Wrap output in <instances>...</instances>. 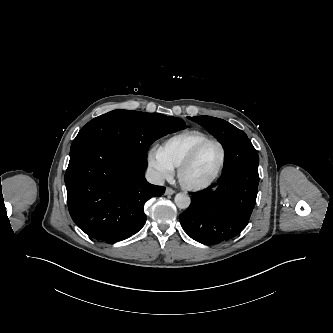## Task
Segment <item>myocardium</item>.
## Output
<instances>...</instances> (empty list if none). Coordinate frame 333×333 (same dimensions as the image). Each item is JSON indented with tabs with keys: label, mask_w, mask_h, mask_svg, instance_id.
<instances>
[{
	"label": "myocardium",
	"mask_w": 333,
	"mask_h": 333,
	"mask_svg": "<svg viewBox=\"0 0 333 333\" xmlns=\"http://www.w3.org/2000/svg\"><path fill=\"white\" fill-rule=\"evenodd\" d=\"M208 144H216L221 152V158H220V162L216 168V170L214 171V173L205 181L202 182H198V183H192L186 180L185 178V172L186 170L191 166V164L194 162V160L196 159L198 153L200 152V150L208 145ZM225 161H226V149L224 147V145L217 139H213V138H208L205 139L201 142H199L191 151L190 153L186 156V158L181 162V164L178 166V180L181 184V186L187 190H191V191H198V190H202L205 189L207 187H209L210 185H212L217 178L220 176L224 165H225Z\"/></svg>",
	"instance_id": "obj_1"
}]
</instances>
